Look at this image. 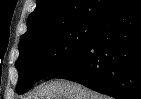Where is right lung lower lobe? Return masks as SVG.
Segmentation results:
<instances>
[{
  "mask_svg": "<svg viewBox=\"0 0 141 99\" xmlns=\"http://www.w3.org/2000/svg\"><path fill=\"white\" fill-rule=\"evenodd\" d=\"M50 78L116 99H141V0H126L101 18L90 42Z\"/></svg>",
  "mask_w": 141,
  "mask_h": 99,
  "instance_id": "obj_1",
  "label": "right lung lower lobe"
}]
</instances>
